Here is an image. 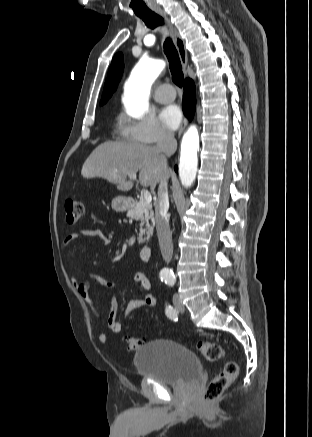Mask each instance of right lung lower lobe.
<instances>
[{"label": "right lung lower lobe", "mask_w": 312, "mask_h": 437, "mask_svg": "<svg viewBox=\"0 0 312 437\" xmlns=\"http://www.w3.org/2000/svg\"><path fill=\"white\" fill-rule=\"evenodd\" d=\"M195 106H196L195 85L191 79H186L184 82L183 111L190 120L194 115ZM175 171H177V166H175Z\"/></svg>", "instance_id": "obj_1"}]
</instances>
